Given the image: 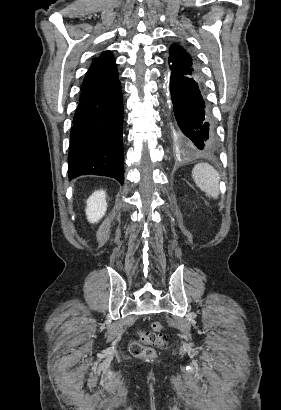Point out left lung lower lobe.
I'll return each mask as SVG.
<instances>
[{
    "mask_svg": "<svg viewBox=\"0 0 281 410\" xmlns=\"http://www.w3.org/2000/svg\"><path fill=\"white\" fill-rule=\"evenodd\" d=\"M172 123L177 140L186 148L212 152L217 148L214 123L204 100L202 81L167 72Z\"/></svg>",
    "mask_w": 281,
    "mask_h": 410,
    "instance_id": "0a47b994",
    "label": "left lung lower lobe"
}]
</instances>
